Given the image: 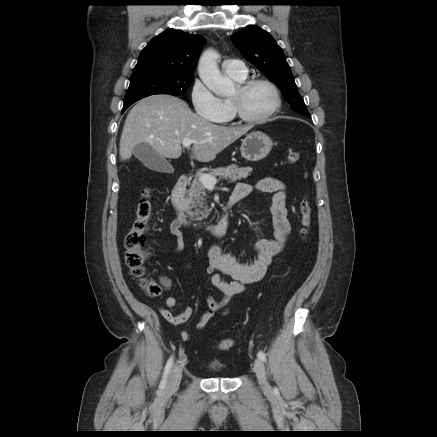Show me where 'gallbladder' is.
<instances>
[{
    "instance_id": "1",
    "label": "gallbladder",
    "mask_w": 437,
    "mask_h": 437,
    "mask_svg": "<svg viewBox=\"0 0 437 437\" xmlns=\"http://www.w3.org/2000/svg\"><path fill=\"white\" fill-rule=\"evenodd\" d=\"M134 156L140 160L148 169L157 172H166L169 163L160 156L148 143H140L133 149Z\"/></svg>"
}]
</instances>
